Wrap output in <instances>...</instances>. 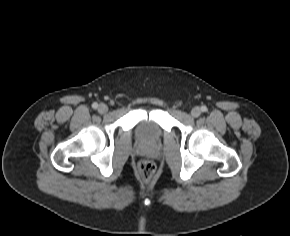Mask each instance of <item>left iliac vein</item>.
Here are the masks:
<instances>
[{
  "mask_svg": "<svg viewBox=\"0 0 290 236\" xmlns=\"http://www.w3.org/2000/svg\"><path fill=\"white\" fill-rule=\"evenodd\" d=\"M201 114V109L199 107H194L192 110H191V115L193 117H199Z\"/></svg>",
  "mask_w": 290,
  "mask_h": 236,
  "instance_id": "obj_1",
  "label": "left iliac vein"
}]
</instances>
